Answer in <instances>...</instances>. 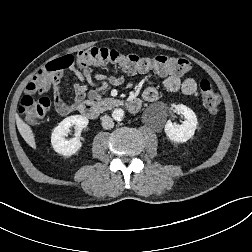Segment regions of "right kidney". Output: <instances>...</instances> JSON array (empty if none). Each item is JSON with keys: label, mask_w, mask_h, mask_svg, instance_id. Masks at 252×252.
Instances as JSON below:
<instances>
[{"label": "right kidney", "mask_w": 252, "mask_h": 252, "mask_svg": "<svg viewBox=\"0 0 252 252\" xmlns=\"http://www.w3.org/2000/svg\"><path fill=\"white\" fill-rule=\"evenodd\" d=\"M88 123L89 120L82 115H72L61 121L51 135V144L54 150L64 156L75 154L82 147L80 134L87 127ZM73 125L76 126L75 137L66 140L65 136L68 135L69 128Z\"/></svg>", "instance_id": "1"}]
</instances>
